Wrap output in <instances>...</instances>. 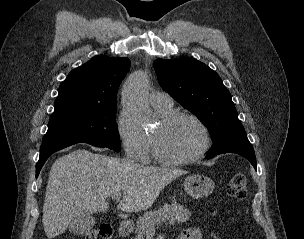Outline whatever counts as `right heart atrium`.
Listing matches in <instances>:
<instances>
[{
  "instance_id": "right-heart-atrium-1",
  "label": "right heart atrium",
  "mask_w": 304,
  "mask_h": 239,
  "mask_svg": "<svg viewBox=\"0 0 304 239\" xmlns=\"http://www.w3.org/2000/svg\"><path fill=\"white\" fill-rule=\"evenodd\" d=\"M116 128L126 155L136 160H146L151 148L150 137L134 122L127 109L120 110Z\"/></svg>"
}]
</instances>
